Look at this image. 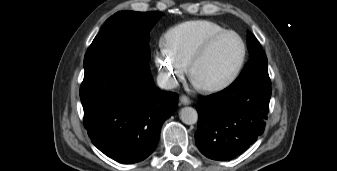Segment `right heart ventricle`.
Masks as SVG:
<instances>
[{
  "label": "right heart ventricle",
  "instance_id": "right-heart-ventricle-1",
  "mask_svg": "<svg viewBox=\"0 0 337 171\" xmlns=\"http://www.w3.org/2000/svg\"><path fill=\"white\" fill-rule=\"evenodd\" d=\"M225 30L210 20H190L171 28L165 35V45L173 57L188 66L202 43Z\"/></svg>",
  "mask_w": 337,
  "mask_h": 171
}]
</instances>
